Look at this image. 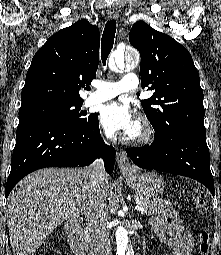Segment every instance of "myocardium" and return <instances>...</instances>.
<instances>
[{
	"label": "myocardium",
	"instance_id": "obj_1",
	"mask_svg": "<svg viewBox=\"0 0 221 255\" xmlns=\"http://www.w3.org/2000/svg\"><path fill=\"white\" fill-rule=\"evenodd\" d=\"M153 135L151 123L145 117H140L135 122L133 129L124 134L123 142L132 146H142L149 143Z\"/></svg>",
	"mask_w": 221,
	"mask_h": 255
}]
</instances>
